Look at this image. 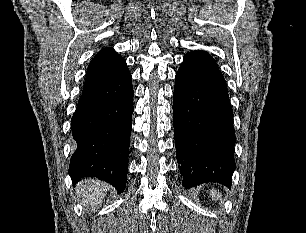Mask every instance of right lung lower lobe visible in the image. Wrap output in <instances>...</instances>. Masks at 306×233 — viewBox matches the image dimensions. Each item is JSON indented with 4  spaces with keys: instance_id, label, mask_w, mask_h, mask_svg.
<instances>
[{
    "instance_id": "98d812e1",
    "label": "right lung lower lobe",
    "mask_w": 306,
    "mask_h": 233,
    "mask_svg": "<svg viewBox=\"0 0 306 233\" xmlns=\"http://www.w3.org/2000/svg\"><path fill=\"white\" fill-rule=\"evenodd\" d=\"M133 95L128 68L103 85L83 90L71 119L74 153L69 175L73 183L93 176L120 192L125 189Z\"/></svg>"
}]
</instances>
